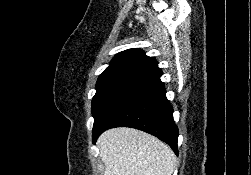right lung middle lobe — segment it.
<instances>
[{"label":"right lung middle lobe","instance_id":"obj_1","mask_svg":"<svg viewBox=\"0 0 251 175\" xmlns=\"http://www.w3.org/2000/svg\"><path fill=\"white\" fill-rule=\"evenodd\" d=\"M138 80L132 77L120 76L98 80L96 94L92 100V115L94 117L93 133L97 131L99 123L108 107L129 86Z\"/></svg>","mask_w":251,"mask_h":175}]
</instances>
